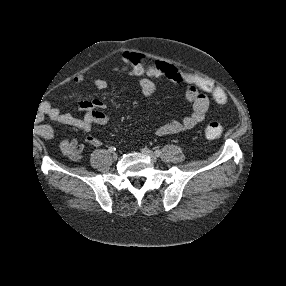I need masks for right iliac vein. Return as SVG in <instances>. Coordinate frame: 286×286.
<instances>
[{
  "mask_svg": "<svg viewBox=\"0 0 286 286\" xmlns=\"http://www.w3.org/2000/svg\"><path fill=\"white\" fill-rule=\"evenodd\" d=\"M113 158L117 159L118 158V154L117 153H113Z\"/></svg>",
  "mask_w": 286,
  "mask_h": 286,
  "instance_id": "1",
  "label": "right iliac vein"
}]
</instances>
